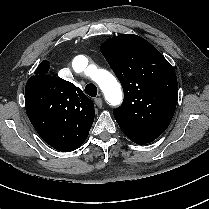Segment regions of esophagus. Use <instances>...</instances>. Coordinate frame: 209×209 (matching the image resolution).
Segmentation results:
<instances>
[{
  "label": "esophagus",
  "instance_id": "34e87169",
  "mask_svg": "<svg viewBox=\"0 0 209 209\" xmlns=\"http://www.w3.org/2000/svg\"><path fill=\"white\" fill-rule=\"evenodd\" d=\"M94 102H95V104H96V106H97L98 108H102L103 101H102L101 98H95V99H94Z\"/></svg>",
  "mask_w": 209,
  "mask_h": 209
}]
</instances>
